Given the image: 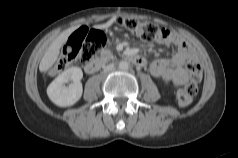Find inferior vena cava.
Listing matches in <instances>:
<instances>
[{
  "label": "inferior vena cava",
  "instance_id": "1",
  "mask_svg": "<svg viewBox=\"0 0 238 158\" xmlns=\"http://www.w3.org/2000/svg\"><path fill=\"white\" fill-rule=\"evenodd\" d=\"M113 69H114V64L112 63L104 67L105 72L112 71Z\"/></svg>",
  "mask_w": 238,
  "mask_h": 158
}]
</instances>
